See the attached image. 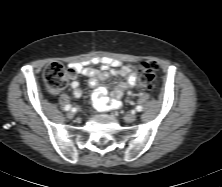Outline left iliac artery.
<instances>
[{"label": "left iliac artery", "instance_id": "obj_1", "mask_svg": "<svg viewBox=\"0 0 222 187\" xmlns=\"http://www.w3.org/2000/svg\"><path fill=\"white\" fill-rule=\"evenodd\" d=\"M136 110H137L138 112L142 111V106H137V107H136Z\"/></svg>", "mask_w": 222, "mask_h": 187}]
</instances>
